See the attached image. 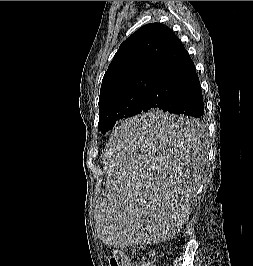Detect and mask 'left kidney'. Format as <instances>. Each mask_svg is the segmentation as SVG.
I'll return each mask as SVG.
<instances>
[{"instance_id": "1", "label": "left kidney", "mask_w": 253, "mask_h": 266, "mask_svg": "<svg viewBox=\"0 0 253 266\" xmlns=\"http://www.w3.org/2000/svg\"><path fill=\"white\" fill-rule=\"evenodd\" d=\"M187 206H188V204H187ZM181 218H185V216L181 215Z\"/></svg>"}]
</instances>
